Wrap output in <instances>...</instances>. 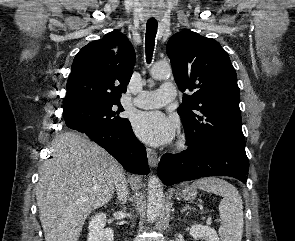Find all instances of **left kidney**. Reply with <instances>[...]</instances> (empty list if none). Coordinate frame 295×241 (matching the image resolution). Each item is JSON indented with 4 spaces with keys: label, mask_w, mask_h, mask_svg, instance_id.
Wrapping results in <instances>:
<instances>
[{
    "label": "left kidney",
    "mask_w": 295,
    "mask_h": 241,
    "mask_svg": "<svg viewBox=\"0 0 295 241\" xmlns=\"http://www.w3.org/2000/svg\"><path fill=\"white\" fill-rule=\"evenodd\" d=\"M190 235L205 241H220L216 231L205 225L195 224L190 228Z\"/></svg>",
    "instance_id": "5707ae66"
}]
</instances>
